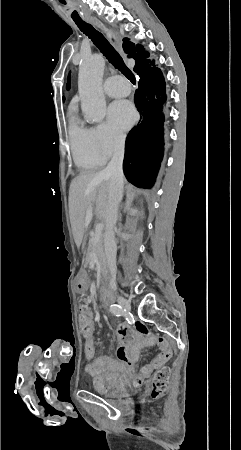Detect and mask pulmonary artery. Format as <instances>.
<instances>
[{"mask_svg":"<svg viewBox=\"0 0 241 450\" xmlns=\"http://www.w3.org/2000/svg\"><path fill=\"white\" fill-rule=\"evenodd\" d=\"M103 89L107 94L106 100L113 102L115 97H123L126 95L125 92H131L132 86L127 78H123L122 74H109Z\"/></svg>","mask_w":241,"mask_h":450,"instance_id":"pulmonary-artery-1","label":"pulmonary artery"}]
</instances>
